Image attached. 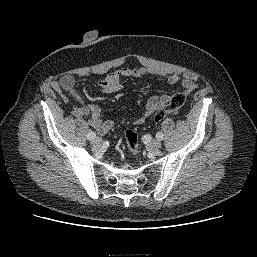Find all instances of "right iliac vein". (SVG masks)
I'll use <instances>...</instances> for the list:
<instances>
[{
	"label": "right iliac vein",
	"instance_id": "63e3f726",
	"mask_svg": "<svg viewBox=\"0 0 257 257\" xmlns=\"http://www.w3.org/2000/svg\"><path fill=\"white\" fill-rule=\"evenodd\" d=\"M101 143H102V141H101L100 138H96V139H94V140L92 141V145H93V146H96V147L100 146Z\"/></svg>",
	"mask_w": 257,
	"mask_h": 257
}]
</instances>
